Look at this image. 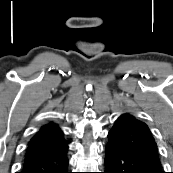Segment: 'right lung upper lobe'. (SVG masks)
<instances>
[{
    "instance_id": "cb5924a9",
    "label": "right lung upper lobe",
    "mask_w": 173,
    "mask_h": 173,
    "mask_svg": "<svg viewBox=\"0 0 173 173\" xmlns=\"http://www.w3.org/2000/svg\"><path fill=\"white\" fill-rule=\"evenodd\" d=\"M65 144L63 133L54 123L42 126L31 138L26 149V154L59 147Z\"/></svg>"
}]
</instances>
